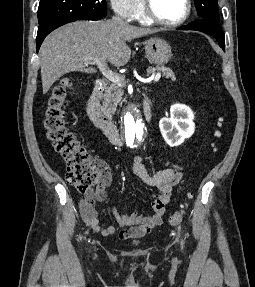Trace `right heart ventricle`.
<instances>
[{"mask_svg": "<svg viewBox=\"0 0 255 287\" xmlns=\"http://www.w3.org/2000/svg\"><path fill=\"white\" fill-rule=\"evenodd\" d=\"M126 33H145V32H126ZM132 39H151V38H132ZM159 48H169V47H159Z\"/></svg>", "mask_w": 255, "mask_h": 287, "instance_id": "right-heart-ventricle-1", "label": "right heart ventricle"}]
</instances>
